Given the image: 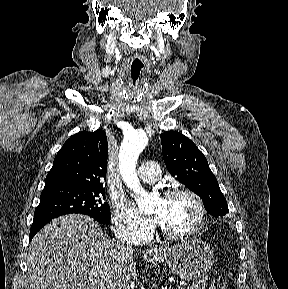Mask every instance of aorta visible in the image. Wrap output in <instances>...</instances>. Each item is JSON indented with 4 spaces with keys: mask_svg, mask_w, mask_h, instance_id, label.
Listing matches in <instances>:
<instances>
[{
    "mask_svg": "<svg viewBox=\"0 0 288 289\" xmlns=\"http://www.w3.org/2000/svg\"><path fill=\"white\" fill-rule=\"evenodd\" d=\"M146 144L147 137L143 132H134L125 138L119 151V168L123 180L135 194L139 209L148 212L153 210L154 200L142 188L136 174L137 159Z\"/></svg>",
    "mask_w": 288,
    "mask_h": 289,
    "instance_id": "1",
    "label": "aorta"
}]
</instances>
